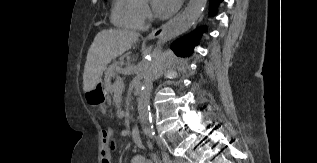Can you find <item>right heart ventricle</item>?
<instances>
[{
	"label": "right heart ventricle",
	"instance_id": "right-heart-ventricle-1",
	"mask_svg": "<svg viewBox=\"0 0 317 163\" xmlns=\"http://www.w3.org/2000/svg\"><path fill=\"white\" fill-rule=\"evenodd\" d=\"M144 0H113L111 20L115 26L126 29H143L146 21L141 9Z\"/></svg>",
	"mask_w": 317,
	"mask_h": 163
}]
</instances>
